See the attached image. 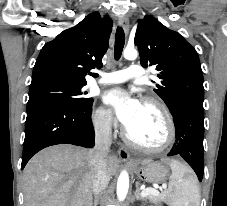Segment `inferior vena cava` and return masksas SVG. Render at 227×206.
<instances>
[{"label": "inferior vena cava", "mask_w": 227, "mask_h": 206, "mask_svg": "<svg viewBox=\"0 0 227 206\" xmlns=\"http://www.w3.org/2000/svg\"><path fill=\"white\" fill-rule=\"evenodd\" d=\"M112 115H106L96 126L95 147L92 150L91 166L94 171L93 191L95 197L101 193L109 183L107 168L108 152L112 143Z\"/></svg>", "instance_id": "1"}]
</instances>
